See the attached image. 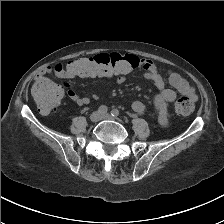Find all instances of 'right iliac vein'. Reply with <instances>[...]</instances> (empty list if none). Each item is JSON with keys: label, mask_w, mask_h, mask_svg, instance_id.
I'll list each match as a JSON object with an SVG mask.
<instances>
[{"label": "right iliac vein", "mask_w": 224, "mask_h": 224, "mask_svg": "<svg viewBox=\"0 0 224 224\" xmlns=\"http://www.w3.org/2000/svg\"><path fill=\"white\" fill-rule=\"evenodd\" d=\"M101 119H102V115L98 111L93 112L90 116V120L94 123L100 121Z\"/></svg>", "instance_id": "obj_1"}]
</instances>
